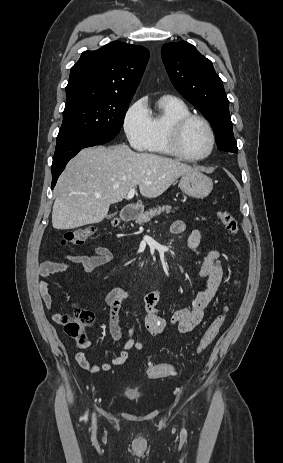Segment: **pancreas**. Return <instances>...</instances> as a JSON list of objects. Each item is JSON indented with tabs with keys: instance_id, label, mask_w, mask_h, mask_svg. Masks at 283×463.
I'll return each mask as SVG.
<instances>
[{
	"instance_id": "pancreas-1",
	"label": "pancreas",
	"mask_w": 283,
	"mask_h": 463,
	"mask_svg": "<svg viewBox=\"0 0 283 463\" xmlns=\"http://www.w3.org/2000/svg\"><path fill=\"white\" fill-rule=\"evenodd\" d=\"M172 207L169 205L166 206H157L154 209H150L146 211L136 218V224L143 225L144 223L149 222L154 216L160 215L162 212L170 213Z\"/></svg>"
}]
</instances>
